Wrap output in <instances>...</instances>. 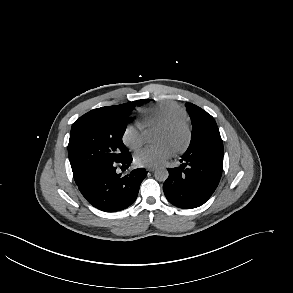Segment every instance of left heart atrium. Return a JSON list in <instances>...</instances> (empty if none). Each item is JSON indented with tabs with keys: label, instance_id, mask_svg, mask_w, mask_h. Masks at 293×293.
<instances>
[{
	"label": "left heart atrium",
	"instance_id": "1",
	"mask_svg": "<svg viewBox=\"0 0 293 293\" xmlns=\"http://www.w3.org/2000/svg\"><path fill=\"white\" fill-rule=\"evenodd\" d=\"M174 153L172 146L166 142L147 146L139 150L134 157L136 165L140 167H156L164 163Z\"/></svg>",
	"mask_w": 293,
	"mask_h": 293
}]
</instances>
